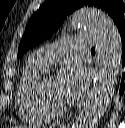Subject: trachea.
<instances>
[{
    "label": "trachea",
    "mask_w": 125,
    "mask_h": 128,
    "mask_svg": "<svg viewBox=\"0 0 125 128\" xmlns=\"http://www.w3.org/2000/svg\"><path fill=\"white\" fill-rule=\"evenodd\" d=\"M91 51H95V48H91Z\"/></svg>",
    "instance_id": "obj_1"
}]
</instances>
